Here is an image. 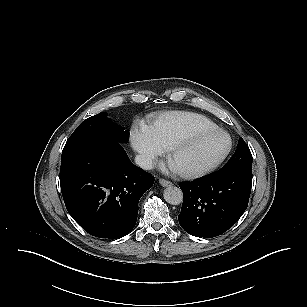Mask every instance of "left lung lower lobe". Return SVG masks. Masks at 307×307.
Returning a JSON list of instances; mask_svg holds the SVG:
<instances>
[{
	"label": "left lung lower lobe",
	"mask_w": 307,
	"mask_h": 307,
	"mask_svg": "<svg viewBox=\"0 0 307 307\" xmlns=\"http://www.w3.org/2000/svg\"><path fill=\"white\" fill-rule=\"evenodd\" d=\"M252 171H230L180 184L183 204L181 227L197 237L221 235L236 223L247 208Z\"/></svg>",
	"instance_id": "obj_1"
}]
</instances>
